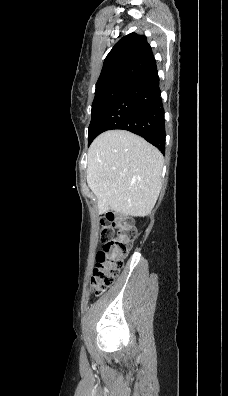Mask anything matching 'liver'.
<instances>
[{
  "instance_id": "liver-1",
  "label": "liver",
  "mask_w": 228,
  "mask_h": 396,
  "mask_svg": "<svg viewBox=\"0 0 228 396\" xmlns=\"http://www.w3.org/2000/svg\"><path fill=\"white\" fill-rule=\"evenodd\" d=\"M162 168L160 151L140 136L125 130L100 134L89 147L87 167L99 214L148 215L161 190Z\"/></svg>"
}]
</instances>
